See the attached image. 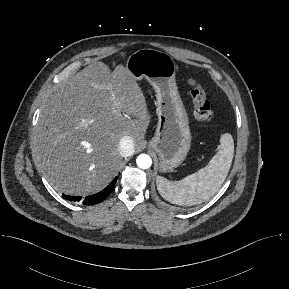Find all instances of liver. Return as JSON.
<instances>
[{"mask_svg":"<svg viewBox=\"0 0 289 289\" xmlns=\"http://www.w3.org/2000/svg\"><path fill=\"white\" fill-rule=\"evenodd\" d=\"M150 119L135 77L123 65L111 72L93 62L46 98L34 135L36 160L55 190L76 196L99 192L122 163L121 138L131 137L138 148Z\"/></svg>","mask_w":289,"mask_h":289,"instance_id":"obj_1","label":"liver"}]
</instances>
